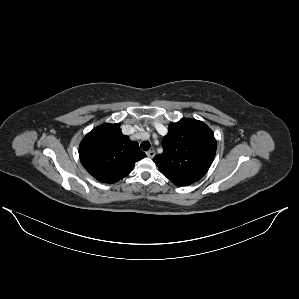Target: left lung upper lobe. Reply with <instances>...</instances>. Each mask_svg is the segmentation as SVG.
I'll list each match as a JSON object with an SVG mask.
<instances>
[{
  "label": "left lung upper lobe",
  "mask_w": 299,
  "mask_h": 299,
  "mask_svg": "<svg viewBox=\"0 0 299 299\" xmlns=\"http://www.w3.org/2000/svg\"><path fill=\"white\" fill-rule=\"evenodd\" d=\"M163 153L154 157L162 174L178 186L201 179L216 154V139L203 122L183 118L169 126L164 137Z\"/></svg>",
  "instance_id": "5c2ea615"
}]
</instances>
